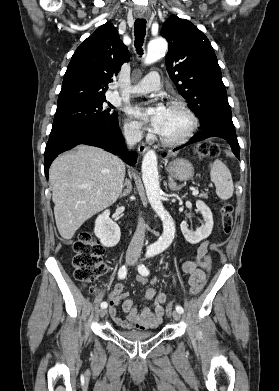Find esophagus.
<instances>
[{
  "instance_id": "esophagus-1",
  "label": "esophagus",
  "mask_w": 279,
  "mask_h": 391,
  "mask_svg": "<svg viewBox=\"0 0 279 391\" xmlns=\"http://www.w3.org/2000/svg\"><path fill=\"white\" fill-rule=\"evenodd\" d=\"M147 150H148V146H146L144 143L138 145V151L140 154H143Z\"/></svg>"
}]
</instances>
